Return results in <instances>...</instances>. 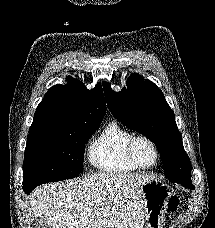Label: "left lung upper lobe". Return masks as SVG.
<instances>
[{"label":"left lung upper lobe","instance_id":"obj_1","mask_svg":"<svg viewBox=\"0 0 215 228\" xmlns=\"http://www.w3.org/2000/svg\"><path fill=\"white\" fill-rule=\"evenodd\" d=\"M137 73L130 76L128 89L114 92L103 83L106 102L113 116L127 128L145 135L157 146L165 177L169 180L191 178V163L184 151L172 109L162 91L151 81H142Z\"/></svg>","mask_w":215,"mask_h":228}]
</instances>
